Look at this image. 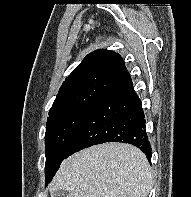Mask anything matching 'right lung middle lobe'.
<instances>
[{"label":"right lung middle lobe","mask_w":191,"mask_h":197,"mask_svg":"<svg viewBox=\"0 0 191 197\" xmlns=\"http://www.w3.org/2000/svg\"><path fill=\"white\" fill-rule=\"evenodd\" d=\"M94 106L68 109L53 115L47 120L45 133V182H50Z\"/></svg>","instance_id":"dd1d6c3e"}]
</instances>
